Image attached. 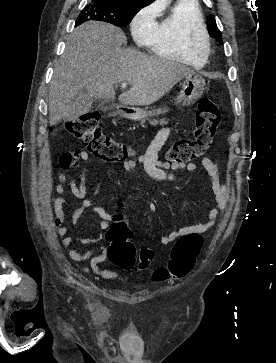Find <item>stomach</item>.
Instances as JSON below:
<instances>
[{"label": "stomach", "mask_w": 276, "mask_h": 363, "mask_svg": "<svg viewBox=\"0 0 276 363\" xmlns=\"http://www.w3.org/2000/svg\"><path fill=\"white\" fill-rule=\"evenodd\" d=\"M205 80L196 74L188 75L182 82V89L176 99V105L188 107L196 103L203 95ZM166 110L147 111L141 108H130L124 116L133 121H145L149 116L165 113Z\"/></svg>", "instance_id": "stomach-1"}]
</instances>
